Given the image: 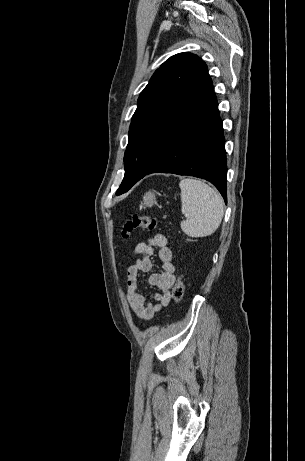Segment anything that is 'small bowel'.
<instances>
[{"mask_svg": "<svg viewBox=\"0 0 305 461\" xmlns=\"http://www.w3.org/2000/svg\"><path fill=\"white\" fill-rule=\"evenodd\" d=\"M156 249L162 264V272L150 274L148 277V283L157 287L159 291L155 295V300L149 301L139 289V277L151 271L152 255ZM133 254L138 258L127 269L126 298L130 310L136 317L149 320L170 301L169 291L175 281L173 254L168 247L167 238L162 234L152 235L138 243Z\"/></svg>", "mask_w": 305, "mask_h": 461, "instance_id": "c3829d8e", "label": "small bowel"}]
</instances>
